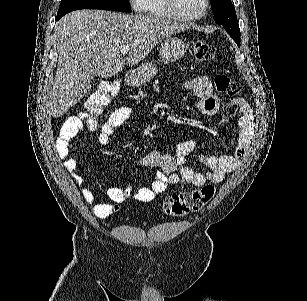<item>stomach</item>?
<instances>
[{"mask_svg":"<svg viewBox=\"0 0 307 301\" xmlns=\"http://www.w3.org/2000/svg\"><path fill=\"white\" fill-rule=\"evenodd\" d=\"M188 50V44L182 38L178 36H170V38H165L161 42L159 48V62L163 64H168V62H175L179 58H183L185 52ZM158 68L156 64L146 60V62H141L136 68H130L125 74L126 84H131V86H141L145 82H149L153 76H156Z\"/></svg>","mask_w":307,"mask_h":301,"instance_id":"1","label":"stomach"}]
</instances>
